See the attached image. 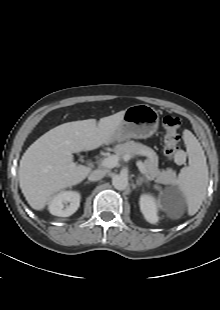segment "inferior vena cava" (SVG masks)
Returning a JSON list of instances; mask_svg holds the SVG:
<instances>
[{
  "label": "inferior vena cava",
  "mask_w": 220,
  "mask_h": 310,
  "mask_svg": "<svg viewBox=\"0 0 220 310\" xmlns=\"http://www.w3.org/2000/svg\"><path fill=\"white\" fill-rule=\"evenodd\" d=\"M106 173H107L106 170L97 169V170H94L90 173L88 179L90 181H98V180H101L102 178H104Z\"/></svg>",
  "instance_id": "602c4592"
}]
</instances>
